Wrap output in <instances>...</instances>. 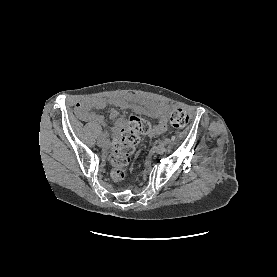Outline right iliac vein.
<instances>
[{"label":"right iliac vein","mask_w":277,"mask_h":277,"mask_svg":"<svg viewBox=\"0 0 277 277\" xmlns=\"http://www.w3.org/2000/svg\"><path fill=\"white\" fill-rule=\"evenodd\" d=\"M108 144V140L106 138H99L97 141V145L99 147H105Z\"/></svg>","instance_id":"right-iliac-vein-1"}]
</instances>
